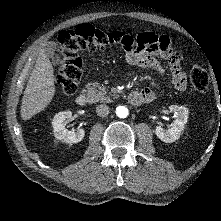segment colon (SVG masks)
I'll return each mask as SVG.
<instances>
[{"mask_svg": "<svg viewBox=\"0 0 221 221\" xmlns=\"http://www.w3.org/2000/svg\"><path fill=\"white\" fill-rule=\"evenodd\" d=\"M131 36L121 32H105L91 25L83 24L75 29L61 31L58 35L59 68L57 83L62 92L72 95L76 92L82 74V51H97L113 44L128 46ZM191 84L199 93L207 92L209 77L204 68L194 65L190 74Z\"/></svg>", "mask_w": 221, "mask_h": 221, "instance_id": "5ec220e1", "label": "colon"}]
</instances>
